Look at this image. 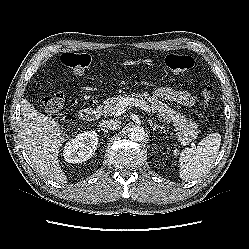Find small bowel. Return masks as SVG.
<instances>
[{"label":"small bowel","mask_w":249,"mask_h":249,"mask_svg":"<svg viewBox=\"0 0 249 249\" xmlns=\"http://www.w3.org/2000/svg\"><path fill=\"white\" fill-rule=\"evenodd\" d=\"M155 94L163 100L175 102L183 106H191L195 102V97L191 93L172 87L158 88Z\"/></svg>","instance_id":"obj_1"}]
</instances>
